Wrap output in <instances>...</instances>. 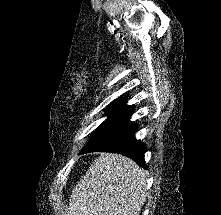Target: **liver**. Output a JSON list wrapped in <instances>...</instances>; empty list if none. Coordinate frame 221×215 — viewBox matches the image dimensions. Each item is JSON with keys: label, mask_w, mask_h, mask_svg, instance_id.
Here are the masks:
<instances>
[{"label": "liver", "mask_w": 221, "mask_h": 215, "mask_svg": "<svg viewBox=\"0 0 221 215\" xmlns=\"http://www.w3.org/2000/svg\"><path fill=\"white\" fill-rule=\"evenodd\" d=\"M145 200L144 171L125 156L101 153L72 190L67 215H139Z\"/></svg>", "instance_id": "1"}]
</instances>
